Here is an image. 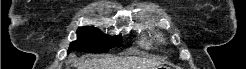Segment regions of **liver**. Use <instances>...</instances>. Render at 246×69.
<instances>
[{
	"mask_svg": "<svg viewBox=\"0 0 246 69\" xmlns=\"http://www.w3.org/2000/svg\"><path fill=\"white\" fill-rule=\"evenodd\" d=\"M159 62L138 57L121 58H92L78 63V69H152Z\"/></svg>",
	"mask_w": 246,
	"mask_h": 69,
	"instance_id": "1",
	"label": "liver"
}]
</instances>
